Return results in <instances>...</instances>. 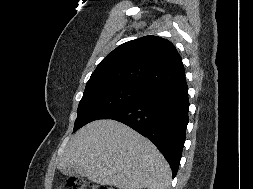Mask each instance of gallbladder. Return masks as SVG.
I'll use <instances>...</instances> for the list:
<instances>
[{"label":"gallbladder","mask_w":253,"mask_h":189,"mask_svg":"<svg viewBox=\"0 0 253 189\" xmlns=\"http://www.w3.org/2000/svg\"><path fill=\"white\" fill-rule=\"evenodd\" d=\"M62 173L69 176H80L82 175L81 168L78 165L65 168L62 170Z\"/></svg>","instance_id":"obj_1"}]
</instances>
